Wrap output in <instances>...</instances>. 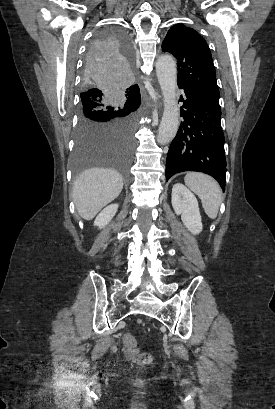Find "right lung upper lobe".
<instances>
[{
    "label": "right lung upper lobe",
    "mask_w": 275,
    "mask_h": 409,
    "mask_svg": "<svg viewBox=\"0 0 275 409\" xmlns=\"http://www.w3.org/2000/svg\"><path fill=\"white\" fill-rule=\"evenodd\" d=\"M126 97L128 100H141L140 90L137 84L126 89Z\"/></svg>",
    "instance_id": "obj_1"
}]
</instances>
